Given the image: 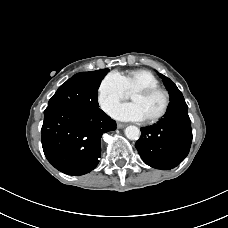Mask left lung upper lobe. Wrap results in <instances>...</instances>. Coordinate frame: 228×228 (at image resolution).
Here are the masks:
<instances>
[{
	"label": "left lung upper lobe",
	"instance_id": "obj_1",
	"mask_svg": "<svg viewBox=\"0 0 228 228\" xmlns=\"http://www.w3.org/2000/svg\"><path fill=\"white\" fill-rule=\"evenodd\" d=\"M163 79L164 83L167 86V89L170 93L171 100L178 97V96H183L181 91L177 88V86L167 77H165L162 74H159Z\"/></svg>",
	"mask_w": 228,
	"mask_h": 228
}]
</instances>
